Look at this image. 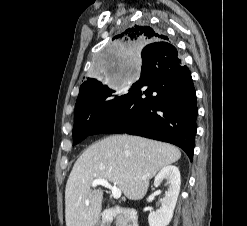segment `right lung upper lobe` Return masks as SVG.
<instances>
[{
    "instance_id": "cb5924a9",
    "label": "right lung upper lobe",
    "mask_w": 247,
    "mask_h": 226,
    "mask_svg": "<svg viewBox=\"0 0 247 226\" xmlns=\"http://www.w3.org/2000/svg\"><path fill=\"white\" fill-rule=\"evenodd\" d=\"M120 39L123 44H152L156 42H167L168 37L162 32L153 29L147 25H135L124 30L120 35L115 36L113 39ZM99 81L93 78L87 80L80 86L78 98H81L99 85Z\"/></svg>"
}]
</instances>
